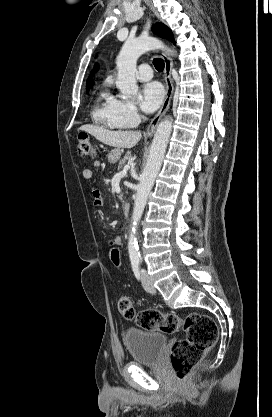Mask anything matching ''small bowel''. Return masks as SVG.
I'll use <instances>...</instances> for the list:
<instances>
[{"label": "small bowel", "mask_w": 272, "mask_h": 417, "mask_svg": "<svg viewBox=\"0 0 272 417\" xmlns=\"http://www.w3.org/2000/svg\"><path fill=\"white\" fill-rule=\"evenodd\" d=\"M100 166H101L100 161L98 160L94 161L91 167L85 168L82 170V177L87 180L92 179L94 176L95 170L99 168ZM92 195H93L94 205L96 207H100L102 205V197H101L99 190L94 189L92 192ZM121 243H122V238L120 236H116L110 241L109 244L121 245Z\"/></svg>", "instance_id": "c3829d8e"}]
</instances>
